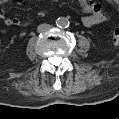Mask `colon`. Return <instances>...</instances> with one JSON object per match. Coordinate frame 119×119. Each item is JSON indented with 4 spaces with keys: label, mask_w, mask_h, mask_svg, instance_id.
Instances as JSON below:
<instances>
[{
    "label": "colon",
    "mask_w": 119,
    "mask_h": 119,
    "mask_svg": "<svg viewBox=\"0 0 119 119\" xmlns=\"http://www.w3.org/2000/svg\"><path fill=\"white\" fill-rule=\"evenodd\" d=\"M113 40L115 42H118L119 41V28L115 29L114 32H113Z\"/></svg>",
    "instance_id": "5ec220e1"
}]
</instances>
